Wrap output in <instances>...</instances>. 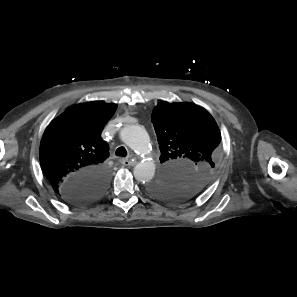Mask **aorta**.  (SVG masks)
<instances>
[{"label":"aorta","mask_w":297,"mask_h":297,"mask_svg":"<svg viewBox=\"0 0 297 297\" xmlns=\"http://www.w3.org/2000/svg\"><path fill=\"white\" fill-rule=\"evenodd\" d=\"M121 140L143 159L134 167V177L137 181L148 183L154 177L155 163L146 156L150 151V139L147 131L140 125H129L120 132Z\"/></svg>","instance_id":"obj_1"}]
</instances>
